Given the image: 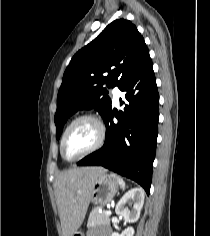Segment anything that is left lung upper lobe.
<instances>
[{
	"label": "left lung upper lobe",
	"instance_id": "obj_1",
	"mask_svg": "<svg viewBox=\"0 0 210 236\" xmlns=\"http://www.w3.org/2000/svg\"><path fill=\"white\" fill-rule=\"evenodd\" d=\"M149 60L148 48L136 26L125 19L111 22L73 56L64 72L54 118L56 138L78 110L94 108L105 120L112 110L107 88L121 89Z\"/></svg>",
	"mask_w": 210,
	"mask_h": 236
}]
</instances>
